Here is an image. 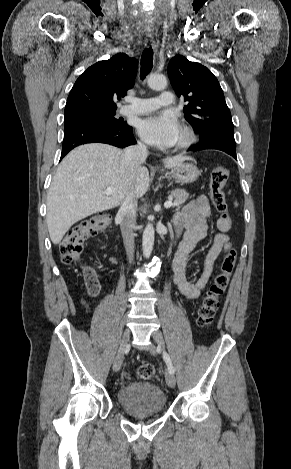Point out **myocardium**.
I'll list each match as a JSON object with an SVG mask.
<instances>
[{"label": "myocardium", "mask_w": 291, "mask_h": 469, "mask_svg": "<svg viewBox=\"0 0 291 469\" xmlns=\"http://www.w3.org/2000/svg\"><path fill=\"white\" fill-rule=\"evenodd\" d=\"M181 138L175 146L176 151H184L190 148L196 141V136L192 128L189 126H183L181 129Z\"/></svg>", "instance_id": "obj_1"}]
</instances>
